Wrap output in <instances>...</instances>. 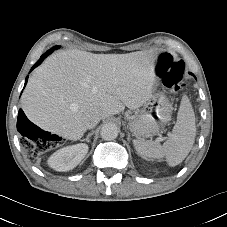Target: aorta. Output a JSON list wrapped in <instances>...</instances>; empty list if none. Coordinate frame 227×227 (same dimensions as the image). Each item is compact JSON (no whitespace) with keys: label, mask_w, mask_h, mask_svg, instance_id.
<instances>
[{"label":"aorta","mask_w":227,"mask_h":227,"mask_svg":"<svg viewBox=\"0 0 227 227\" xmlns=\"http://www.w3.org/2000/svg\"><path fill=\"white\" fill-rule=\"evenodd\" d=\"M118 133H119L118 127L115 124L108 123L103 125L100 135L102 139L111 141L116 139V137L118 136Z\"/></svg>","instance_id":"obj_1"}]
</instances>
